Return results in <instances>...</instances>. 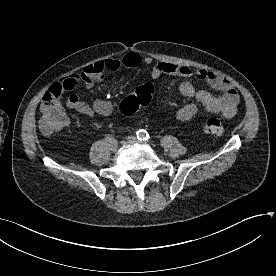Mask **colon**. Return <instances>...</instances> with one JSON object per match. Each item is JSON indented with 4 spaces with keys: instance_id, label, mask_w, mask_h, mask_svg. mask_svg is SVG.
Segmentation results:
<instances>
[{
    "instance_id": "colon-1",
    "label": "colon",
    "mask_w": 276,
    "mask_h": 276,
    "mask_svg": "<svg viewBox=\"0 0 276 276\" xmlns=\"http://www.w3.org/2000/svg\"><path fill=\"white\" fill-rule=\"evenodd\" d=\"M75 82L67 81L53 84L48 90L46 103L41 107L40 129L44 134H52L62 130L68 123L67 117L61 108L59 99L65 91L73 90ZM154 87L150 83L138 86L135 91L125 97L120 104V111L125 115L134 114L140 107L150 103ZM204 133L211 136H220L224 132V125L217 118H210L202 125Z\"/></svg>"
}]
</instances>
